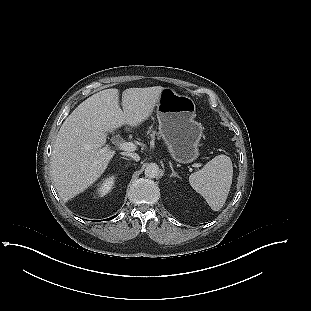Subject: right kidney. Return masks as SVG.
Here are the masks:
<instances>
[{
  "mask_svg": "<svg viewBox=\"0 0 311 311\" xmlns=\"http://www.w3.org/2000/svg\"><path fill=\"white\" fill-rule=\"evenodd\" d=\"M112 185H113V180L107 179L98 189V193L100 194V196L106 195L110 191Z\"/></svg>",
  "mask_w": 311,
  "mask_h": 311,
  "instance_id": "obj_1",
  "label": "right kidney"
}]
</instances>
